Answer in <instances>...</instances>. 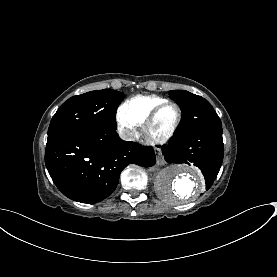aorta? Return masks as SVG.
Masks as SVG:
<instances>
[{
  "instance_id": "obj_1",
  "label": "aorta",
  "mask_w": 277,
  "mask_h": 277,
  "mask_svg": "<svg viewBox=\"0 0 277 277\" xmlns=\"http://www.w3.org/2000/svg\"><path fill=\"white\" fill-rule=\"evenodd\" d=\"M155 186L164 201L178 204L196 199L204 191V179L195 168L174 164L159 172Z\"/></svg>"
}]
</instances>
